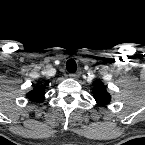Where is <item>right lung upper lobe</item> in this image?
I'll return each mask as SVG.
<instances>
[{"label": "right lung upper lobe", "instance_id": "1", "mask_svg": "<svg viewBox=\"0 0 145 145\" xmlns=\"http://www.w3.org/2000/svg\"><path fill=\"white\" fill-rule=\"evenodd\" d=\"M48 84H49V81H46L45 85H48ZM44 94H45L44 88L39 87V88H36V89L30 91L27 94V97L29 100H31L33 102L41 103L45 100Z\"/></svg>", "mask_w": 145, "mask_h": 145}]
</instances>
